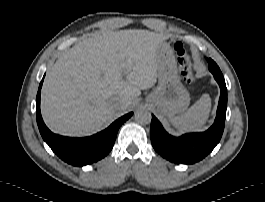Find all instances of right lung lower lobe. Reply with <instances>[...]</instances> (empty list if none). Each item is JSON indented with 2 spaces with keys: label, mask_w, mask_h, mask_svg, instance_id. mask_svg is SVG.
<instances>
[{
  "label": "right lung lower lobe",
  "mask_w": 265,
  "mask_h": 202,
  "mask_svg": "<svg viewBox=\"0 0 265 202\" xmlns=\"http://www.w3.org/2000/svg\"><path fill=\"white\" fill-rule=\"evenodd\" d=\"M43 79L36 97V116L39 131L44 141L63 161L84 166L104 158L113 148L120 126L132 116V112L113 122L105 130L84 138H70L52 133L44 124L40 113V93Z\"/></svg>",
  "instance_id": "right-lung-lower-lobe-1"
}]
</instances>
